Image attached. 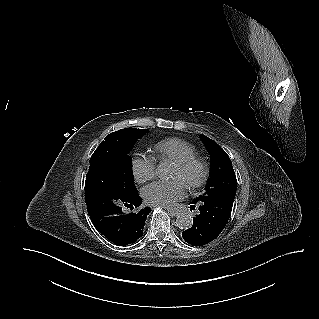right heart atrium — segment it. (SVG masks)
Masks as SVG:
<instances>
[{
    "label": "right heart atrium",
    "instance_id": "1",
    "mask_svg": "<svg viewBox=\"0 0 319 319\" xmlns=\"http://www.w3.org/2000/svg\"><path fill=\"white\" fill-rule=\"evenodd\" d=\"M131 170L138 183L148 182L155 176L156 160L152 156L136 153L131 159Z\"/></svg>",
    "mask_w": 319,
    "mask_h": 319
}]
</instances>
